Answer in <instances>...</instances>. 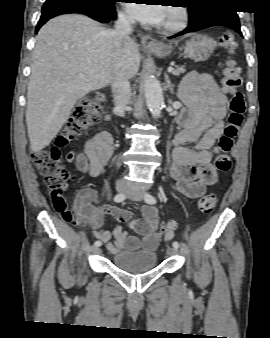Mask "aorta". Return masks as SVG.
Listing matches in <instances>:
<instances>
[{
	"label": "aorta",
	"mask_w": 270,
	"mask_h": 338,
	"mask_svg": "<svg viewBox=\"0 0 270 338\" xmlns=\"http://www.w3.org/2000/svg\"><path fill=\"white\" fill-rule=\"evenodd\" d=\"M144 93L151 114L155 118L160 117L164 106V97L160 82L153 75H148L145 78Z\"/></svg>",
	"instance_id": "obj_1"
}]
</instances>
